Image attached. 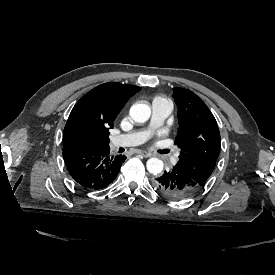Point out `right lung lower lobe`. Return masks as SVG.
Listing matches in <instances>:
<instances>
[{
  "mask_svg": "<svg viewBox=\"0 0 275 275\" xmlns=\"http://www.w3.org/2000/svg\"><path fill=\"white\" fill-rule=\"evenodd\" d=\"M108 146H76L64 149L63 158L72 178L82 187L98 190L117 177L126 156L109 155Z\"/></svg>",
  "mask_w": 275,
  "mask_h": 275,
  "instance_id": "obj_1",
  "label": "right lung lower lobe"
}]
</instances>
